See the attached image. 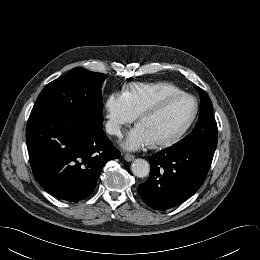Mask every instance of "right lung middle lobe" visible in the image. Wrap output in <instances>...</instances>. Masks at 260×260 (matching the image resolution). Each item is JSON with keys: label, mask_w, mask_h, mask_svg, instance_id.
<instances>
[{"label": "right lung middle lobe", "mask_w": 260, "mask_h": 260, "mask_svg": "<svg viewBox=\"0 0 260 260\" xmlns=\"http://www.w3.org/2000/svg\"><path fill=\"white\" fill-rule=\"evenodd\" d=\"M105 74L74 68L50 82L38 96L31 114L74 113L102 122V83Z\"/></svg>", "instance_id": "1"}]
</instances>
